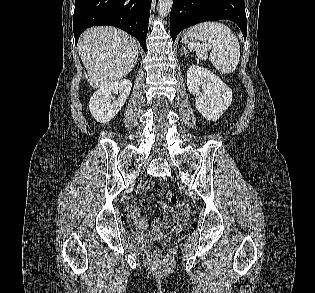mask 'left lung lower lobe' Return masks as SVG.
I'll return each mask as SVG.
<instances>
[{
	"mask_svg": "<svg viewBox=\"0 0 315 293\" xmlns=\"http://www.w3.org/2000/svg\"><path fill=\"white\" fill-rule=\"evenodd\" d=\"M228 19L235 22L246 39L247 20L244 0H174L170 14L173 42L185 28L204 21Z\"/></svg>",
	"mask_w": 315,
	"mask_h": 293,
	"instance_id": "obj_1",
	"label": "left lung lower lobe"
}]
</instances>
